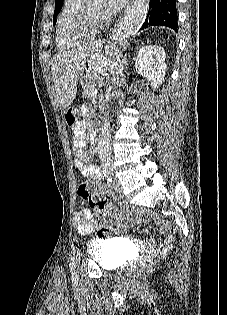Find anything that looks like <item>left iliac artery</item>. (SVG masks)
<instances>
[{"mask_svg": "<svg viewBox=\"0 0 227 315\" xmlns=\"http://www.w3.org/2000/svg\"><path fill=\"white\" fill-rule=\"evenodd\" d=\"M104 175L108 181L112 182V180H113V171L112 170H106ZM69 267H70V271H71L72 275H76V261H75L74 256L71 257Z\"/></svg>", "mask_w": 227, "mask_h": 315, "instance_id": "44dca946", "label": "left iliac artery"}]
</instances>
